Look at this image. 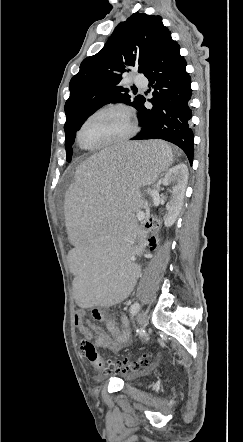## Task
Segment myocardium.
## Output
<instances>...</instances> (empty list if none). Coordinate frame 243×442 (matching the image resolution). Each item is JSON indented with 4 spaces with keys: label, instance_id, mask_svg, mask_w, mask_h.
Segmentation results:
<instances>
[{
    "label": "myocardium",
    "instance_id": "f54148a6",
    "mask_svg": "<svg viewBox=\"0 0 243 442\" xmlns=\"http://www.w3.org/2000/svg\"><path fill=\"white\" fill-rule=\"evenodd\" d=\"M111 111H120L122 113H124L127 116L128 122H129V130L127 131L126 134H124L121 137H118L116 139H113L111 141H108L106 143L100 144V145H96V146H89L86 145L82 139H81V134H82V130L84 128V126L93 118H95L96 116H99L101 114L107 113V112H111ZM136 120H135V116L132 112V110L130 108H128L125 105H110L104 108H101L95 112H93L92 114H90L87 118L84 119V121L81 123L78 131H77V141L79 143V145L84 148L85 150H89V151H94V150H100V149H104V148H108L123 142H126L127 140H129L136 132Z\"/></svg>",
    "mask_w": 243,
    "mask_h": 442
}]
</instances>
